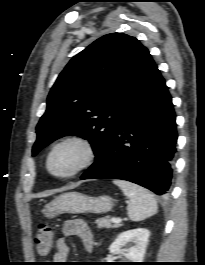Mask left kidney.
Here are the masks:
<instances>
[{
	"label": "left kidney",
	"mask_w": 205,
	"mask_h": 265,
	"mask_svg": "<svg viewBox=\"0 0 205 265\" xmlns=\"http://www.w3.org/2000/svg\"><path fill=\"white\" fill-rule=\"evenodd\" d=\"M149 230L137 228L127 230L119 234L115 241L110 245L111 254H123L131 262H142L149 239ZM129 243L130 248L122 250L123 244Z\"/></svg>",
	"instance_id": "1"
}]
</instances>
